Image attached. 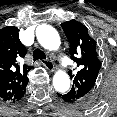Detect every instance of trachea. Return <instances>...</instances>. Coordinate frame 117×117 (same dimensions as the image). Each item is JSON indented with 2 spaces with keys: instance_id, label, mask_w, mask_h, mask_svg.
<instances>
[{
  "instance_id": "3493384b",
  "label": "trachea",
  "mask_w": 117,
  "mask_h": 117,
  "mask_svg": "<svg viewBox=\"0 0 117 117\" xmlns=\"http://www.w3.org/2000/svg\"><path fill=\"white\" fill-rule=\"evenodd\" d=\"M33 58H34V61H37L39 59H41L43 61V60H46V55L42 50L35 49L33 51Z\"/></svg>"
}]
</instances>
